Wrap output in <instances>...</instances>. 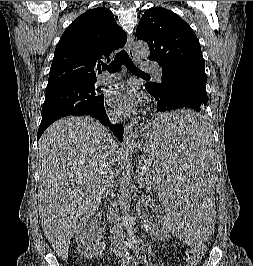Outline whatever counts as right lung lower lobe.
<instances>
[{
    "instance_id": "obj_1",
    "label": "right lung lower lobe",
    "mask_w": 253,
    "mask_h": 266,
    "mask_svg": "<svg viewBox=\"0 0 253 266\" xmlns=\"http://www.w3.org/2000/svg\"><path fill=\"white\" fill-rule=\"evenodd\" d=\"M82 115H89L93 118L98 119L103 125L110 127V129L113 131L114 135L118 138L120 142L123 141L124 127L122 124H115V125L111 124L105 112L104 101L95 109L79 114V116H82ZM49 125L50 124L40 125L38 129L37 139L41 137L42 133L45 131V129Z\"/></svg>"
}]
</instances>
